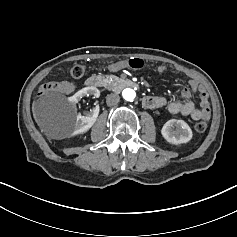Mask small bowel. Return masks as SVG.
<instances>
[{
  "mask_svg": "<svg viewBox=\"0 0 237 237\" xmlns=\"http://www.w3.org/2000/svg\"><path fill=\"white\" fill-rule=\"evenodd\" d=\"M127 66V62H117L109 66L111 71H117ZM167 67L161 65L158 67L159 73H164ZM176 70L181 71L179 67ZM75 87L72 83L67 81L53 82L52 90L59 93H72ZM194 91L199 92L200 103L195 104L190 100L191 94ZM181 100H173L168 102L166 98L161 96H144L142 98V104L147 109H158L167 107L170 113L174 115L190 116L193 120L208 119L210 117V104L208 93L200 82L193 76H190L188 86L184 87L180 93Z\"/></svg>",
  "mask_w": 237,
  "mask_h": 237,
  "instance_id": "small-bowel-1",
  "label": "small bowel"
}]
</instances>
